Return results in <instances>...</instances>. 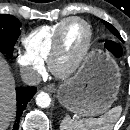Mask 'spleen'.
Here are the masks:
<instances>
[{
    "label": "spleen",
    "instance_id": "spleen-1",
    "mask_svg": "<svg viewBox=\"0 0 130 130\" xmlns=\"http://www.w3.org/2000/svg\"><path fill=\"white\" fill-rule=\"evenodd\" d=\"M121 112L122 107L116 106L99 118L74 121L70 117H65L60 124V130H112Z\"/></svg>",
    "mask_w": 130,
    "mask_h": 130
}]
</instances>
